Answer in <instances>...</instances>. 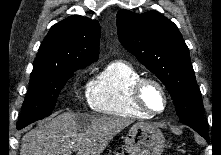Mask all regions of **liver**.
Listing matches in <instances>:
<instances>
[{
  "label": "liver",
  "instance_id": "liver-1",
  "mask_svg": "<svg viewBox=\"0 0 221 155\" xmlns=\"http://www.w3.org/2000/svg\"><path fill=\"white\" fill-rule=\"evenodd\" d=\"M133 121L115 116L64 112L27 132L20 155H101L113 137Z\"/></svg>",
  "mask_w": 221,
  "mask_h": 155
}]
</instances>
